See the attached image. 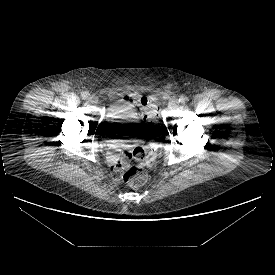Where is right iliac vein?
<instances>
[{"label": "right iliac vein", "instance_id": "63e3f726", "mask_svg": "<svg viewBox=\"0 0 275 275\" xmlns=\"http://www.w3.org/2000/svg\"><path fill=\"white\" fill-rule=\"evenodd\" d=\"M89 102H90L91 104H96V103L98 102V98H97L95 95H91V96L89 97Z\"/></svg>", "mask_w": 275, "mask_h": 275}]
</instances>
